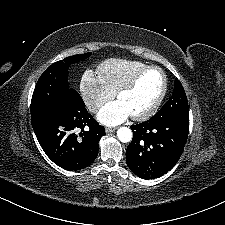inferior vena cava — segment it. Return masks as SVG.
<instances>
[{
	"label": "inferior vena cava",
	"instance_id": "1",
	"mask_svg": "<svg viewBox=\"0 0 225 225\" xmlns=\"http://www.w3.org/2000/svg\"><path fill=\"white\" fill-rule=\"evenodd\" d=\"M100 107V103L96 102V103H90L88 105V108L91 112H95L98 108Z\"/></svg>",
	"mask_w": 225,
	"mask_h": 225
}]
</instances>
